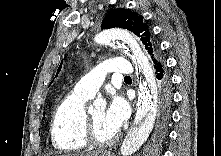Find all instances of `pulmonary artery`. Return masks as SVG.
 <instances>
[{"mask_svg": "<svg viewBox=\"0 0 221 156\" xmlns=\"http://www.w3.org/2000/svg\"><path fill=\"white\" fill-rule=\"evenodd\" d=\"M110 73L129 76L133 73V67L128 60L122 57L108 59L83 76L77 82L75 90L93 97L104 82L106 75Z\"/></svg>", "mask_w": 221, "mask_h": 156, "instance_id": "e3ab8cb5", "label": "pulmonary artery"}]
</instances>
